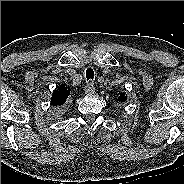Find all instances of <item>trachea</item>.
<instances>
[{
    "label": "trachea",
    "mask_w": 184,
    "mask_h": 184,
    "mask_svg": "<svg viewBox=\"0 0 184 184\" xmlns=\"http://www.w3.org/2000/svg\"><path fill=\"white\" fill-rule=\"evenodd\" d=\"M86 78H87V80H93V78H94V71H93L92 68H88L86 70Z\"/></svg>",
    "instance_id": "3493384b"
}]
</instances>
